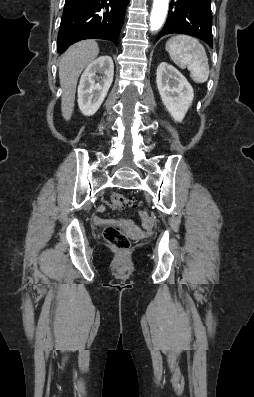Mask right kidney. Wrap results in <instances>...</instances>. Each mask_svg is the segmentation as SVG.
Returning a JSON list of instances; mask_svg holds the SVG:
<instances>
[{
  "label": "right kidney",
  "instance_id": "1",
  "mask_svg": "<svg viewBox=\"0 0 254 397\" xmlns=\"http://www.w3.org/2000/svg\"><path fill=\"white\" fill-rule=\"evenodd\" d=\"M101 73L103 76H97ZM114 76V64L110 56L95 59L83 72L78 86V105L81 112L91 116L101 106Z\"/></svg>",
  "mask_w": 254,
  "mask_h": 397
}]
</instances>
